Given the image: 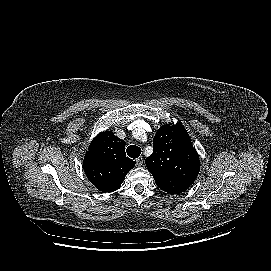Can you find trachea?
Returning <instances> with one entry per match:
<instances>
[{
	"label": "trachea",
	"mask_w": 271,
	"mask_h": 271,
	"mask_svg": "<svg viewBox=\"0 0 271 271\" xmlns=\"http://www.w3.org/2000/svg\"><path fill=\"white\" fill-rule=\"evenodd\" d=\"M126 151L128 156L133 159L138 158L141 154V149L135 145L128 146Z\"/></svg>",
	"instance_id": "trachea-1"
}]
</instances>
